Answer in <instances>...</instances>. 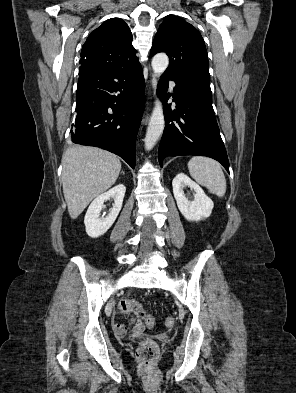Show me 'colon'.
<instances>
[{
  "instance_id": "colon-1",
  "label": "colon",
  "mask_w": 296,
  "mask_h": 393,
  "mask_svg": "<svg viewBox=\"0 0 296 393\" xmlns=\"http://www.w3.org/2000/svg\"><path fill=\"white\" fill-rule=\"evenodd\" d=\"M121 311L125 314H129L134 311L135 315L141 319L144 324L152 328L155 325V318L153 315L144 312L139 304L130 299H122L120 301ZM167 327H172L174 325V320L172 318H167L165 321ZM158 354V346L152 340H144L140 343L137 349V356L142 361V363L146 366L152 365L153 361L157 357Z\"/></svg>"
}]
</instances>
